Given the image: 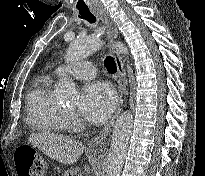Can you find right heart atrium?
<instances>
[{"instance_id":"d8ad5b80","label":"right heart atrium","mask_w":205,"mask_h":176,"mask_svg":"<svg viewBox=\"0 0 205 176\" xmlns=\"http://www.w3.org/2000/svg\"><path fill=\"white\" fill-rule=\"evenodd\" d=\"M65 121L68 124H74L78 122V117L74 112L70 110H66L65 111Z\"/></svg>"}]
</instances>
